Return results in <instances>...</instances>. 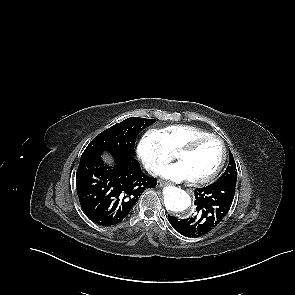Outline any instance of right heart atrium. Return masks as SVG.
Returning a JSON list of instances; mask_svg holds the SVG:
<instances>
[{"label":"right heart atrium","mask_w":295,"mask_h":295,"mask_svg":"<svg viewBox=\"0 0 295 295\" xmlns=\"http://www.w3.org/2000/svg\"><path fill=\"white\" fill-rule=\"evenodd\" d=\"M137 155L147 172L153 176L158 175L172 158L156 131H149L141 137Z\"/></svg>","instance_id":"d8ad5b80"}]
</instances>
